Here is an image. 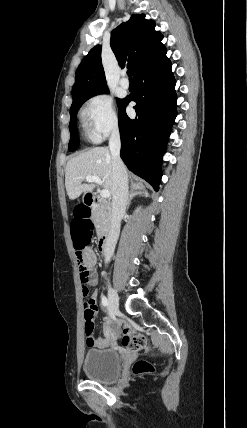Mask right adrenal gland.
Listing matches in <instances>:
<instances>
[{
    "mask_svg": "<svg viewBox=\"0 0 247 428\" xmlns=\"http://www.w3.org/2000/svg\"><path fill=\"white\" fill-rule=\"evenodd\" d=\"M148 196V193L145 189H143L142 187H139L137 185H133L131 187V191L129 194V198H128V203H127V208L129 207L131 200L136 197V196Z\"/></svg>",
    "mask_w": 247,
    "mask_h": 428,
    "instance_id": "1",
    "label": "right adrenal gland"
}]
</instances>
